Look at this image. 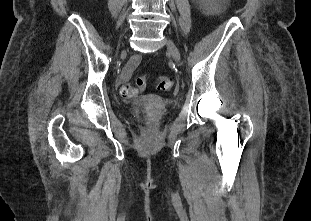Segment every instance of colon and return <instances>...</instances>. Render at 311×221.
<instances>
[{"label": "colon", "instance_id": "colon-1", "mask_svg": "<svg viewBox=\"0 0 311 221\" xmlns=\"http://www.w3.org/2000/svg\"><path fill=\"white\" fill-rule=\"evenodd\" d=\"M174 84H175V80L171 76L163 75V76L158 77V79H157V86L160 90H163V91L172 90ZM138 87L144 88L145 87V80H142V82L140 84H138ZM135 91H136V89L134 88V86L131 83H125L121 87L120 94H121L122 98L129 99L135 94ZM141 124H142V126L147 127L148 121L142 119Z\"/></svg>", "mask_w": 311, "mask_h": 221}]
</instances>
